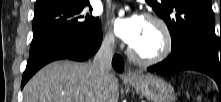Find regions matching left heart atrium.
Wrapping results in <instances>:
<instances>
[{
    "instance_id": "left-heart-atrium-1",
    "label": "left heart atrium",
    "mask_w": 221,
    "mask_h": 102,
    "mask_svg": "<svg viewBox=\"0 0 221 102\" xmlns=\"http://www.w3.org/2000/svg\"><path fill=\"white\" fill-rule=\"evenodd\" d=\"M143 21V17L137 13L127 16H117L114 19L115 32L123 41L132 45L140 35Z\"/></svg>"
}]
</instances>
